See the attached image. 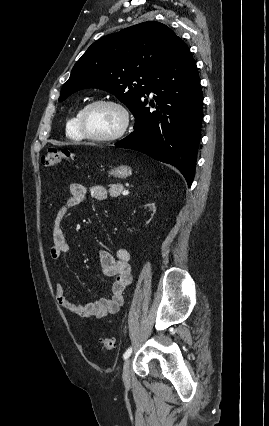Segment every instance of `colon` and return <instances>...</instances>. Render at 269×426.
Returning a JSON list of instances; mask_svg holds the SVG:
<instances>
[{"mask_svg":"<svg viewBox=\"0 0 269 426\" xmlns=\"http://www.w3.org/2000/svg\"><path fill=\"white\" fill-rule=\"evenodd\" d=\"M74 158L75 156L67 149L49 148L42 155L41 162L43 166L53 168L63 161H71ZM101 344L105 350H112L114 347V341L110 338H103Z\"/></svg>","mask_w":269,"mask_h":426,"instance_id":"1","label":"colon"}]
</instances>
